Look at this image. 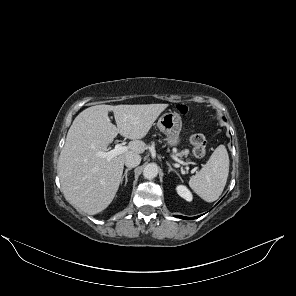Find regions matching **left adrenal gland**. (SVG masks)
Masks as SVG:
<instances>
[{"label": "left adrenal gland", "instance_id": "1", "mask_svg": "<svg viewBox=\"0 0 296 296\" xmlns=\"http://www.w3.org/2000/svg\"><path fill=\"white\" fill-rule=\"evenodd\" d=\"M166 164L169 167L168 173H170L171 171H173V172H175L180 177L179 173L175 169L172 168V166H171V164L169 162H166Z\"/></svg>", "mask_w": 296, "mask_h": 296}]
</instances>
